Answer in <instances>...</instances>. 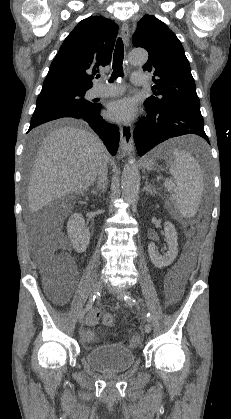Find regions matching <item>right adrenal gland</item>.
I'll use <instances>...</instances> for the list:
<instances>
[{"label":"right adrenal gland","mask_w":231,"mask_h":419,"mask_svg":"<svg viewBox=\"0 0 231 419\" xmlns=\"http://www.w3.org/2000/svg\"><path fill=\"white\" fill-rule=\"evenodd\" d=\"M91 193L94 194V195H97L98 191L96 189H93V190H91Z\"/></svg>","instance_id":"1"}]
</instances>
